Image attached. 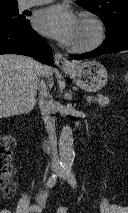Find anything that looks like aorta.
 <instances>
[{
  "mask_svg": "<svg viewBox=\"0 0 128 213\" xmlns=\"http://www.w3.org/2000/svg\"><path fill=\"white\" fill-rule=\"evenodd\" d=\"M73 141L72 128L66 124L62 128L59 138L60 164L63 167H71L74 162L75 152Z\"/></svg>",
  "mask_w": 128,
  "mask_h": 213,
  "instance_id": "aorta-1",
  "label": "aorta"
}]
</instances>
